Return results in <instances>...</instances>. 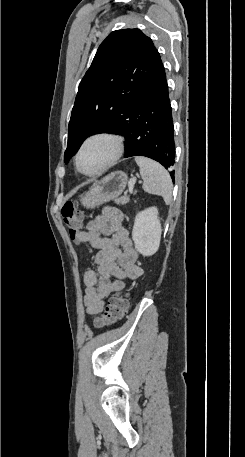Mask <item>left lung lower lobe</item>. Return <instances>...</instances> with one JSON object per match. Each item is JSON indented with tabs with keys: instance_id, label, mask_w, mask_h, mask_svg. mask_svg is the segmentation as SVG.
<instances>
[{
	"instance_id": "obj_1",
	"label": "left lung lower lobe",
	"mask_w": 245,
	"mask_h": 457,
	"mask_svg": "<svg viewBox=\"0 0 245 457\" xmlns=\"http://www.w3.org/2000/svg\"><path fill=\"white\" fill-rule=\"evenodd\" d=\"M107 133L126 139L125 158L145 156L163 165L174 181L175 142L172 108L162 61L149 85L147 97Z\"/></svg>"
}]
</instances>
